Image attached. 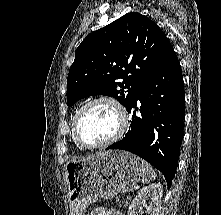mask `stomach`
<instances>
[{"mask_svg": "<svg viewBox=\"0 0 221 215\" xmlns=\"http://www.w3.org/2000/svg\"><path fill=\"white\" fill-rule=\"evenodd\" d=\"M64 176L71 215H84L98 198L112 199L133 190L142 176V164L129 152L110 150L68 162Z\"/></svg>", "mask_w": 221, "mask_h": 215, "instance_id": "stomach-1", "label": "stomach"}]
</instances>
